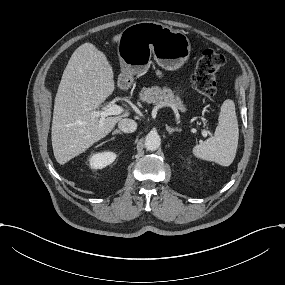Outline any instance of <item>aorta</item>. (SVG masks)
<instances>
[{
	"label": "aorta",
	"instance_id": "aorta-1",
	"mask_svg": "<svg viewBox=\"0 0 285 285\" xmlns=\"http://www.w3.org/2000/svg\"><path fill=\"white\" fill-rule=\"evenodd\" d=\"M161 145L160 136L155 132H150L145 138V148L148 151H155Z\"/></svg>",
	"mask_w": 285,
	"mask_h": 285
}]
</instances>
